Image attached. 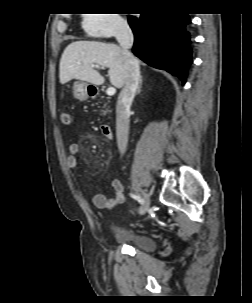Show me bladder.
<instances>
[{
  "instance_id": "31cf9c89",
  "label": "bladder",
  "mask_w": 252,
  "mask_h": 303,
  "mask_svg": "<svg viewBox=\"0 0 252 303\" xmlns=\"http://www.w3.org/2000/svg\"><path fill=\"white\" fill-rule=\"evenodd\" d=\"M113 234L120 242L145 252H154L157 247L156 241L149 235L122 226H114Z\"/></svg>"
}]
</instances>
